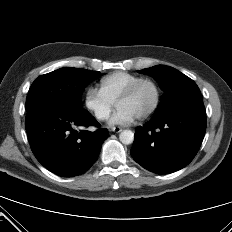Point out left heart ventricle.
Returning a JSON list of instances; mask_svg holds the SVG:
<instances>
[{
  "mask_svg": "<svg viewBox=\"0 0 232 232\" xmlns=\"http://www.w3.org/2000/svg\"><path fill=\"white\" fill-rule=\"evenodd\" d=\"M155 99V91L151 84H142L135 94L128 100L118 104V108H125L136 117L141 116L150 109Z\"/></svg>",
  "mask_w": 232,
  "mask_h": 232,
  "instance_id": "obj_1",
  "label": "left heart ventricle"
}]
</instances>
